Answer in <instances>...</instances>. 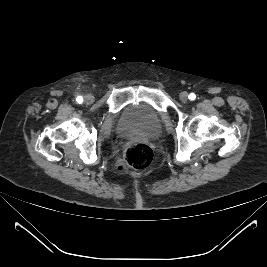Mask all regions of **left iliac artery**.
Here are the masks:
<instances>
[{
	"instance_id": "left-iliac-artery-1",
	"label": "left iliac artery",
	"mask_w": 267,
	"mask_h": 267,
	"mask_svg": "<svg viewBox=\"0 0 267 267\" xmlns=\"http://www.w3.org/2000/svg\"><path fill=\"white\" fill-rule=\"evenodd\" d=\"M196 98V95L194 94V93H191L190 95H189V99L190 100H194Z\"/></svg>"
}]
</instances>
